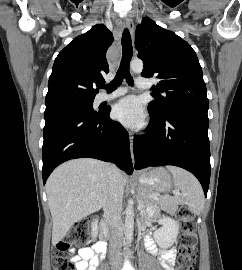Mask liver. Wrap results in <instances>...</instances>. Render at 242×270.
<instances>
[{
	"label": "liver",
	"mask_w": 242,
	"mask_h": 270,
	"mask_svg": "<svg viewBox=\"0 0 242 270\" xmlns=\"http://www.w3.org/2000/svg\"><path fill=\"white\" fill-rule=\"evenodd\" d=\"M123 185L127 177L121 172ZM111 184L109 164L91 158L70 160L57 167L46 183L53 219L52 244L74 225L106 205Z\"/></svg>",
	"instance_id": "1"
}]
</instances>
